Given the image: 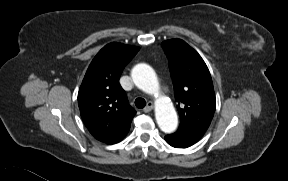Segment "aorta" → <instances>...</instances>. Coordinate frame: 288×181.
<instances>
[{"label": "aorta", "mask_w": 288, "mask_h": 181, "mask_svg": "<svg viewBox=\"0 0 288 181\" xmlns=\"http://www.w3.org/2000/svg\"><path fill=\"white\" fill-rule=\"evenodd\" d=\"M132 80L142 91L156 94L159 83L154 70L147 64H138L132 69ZM155 117L159 128L165 133L176 130L178 118L175 108L167 97H161L155 103Z\"/></svg>", "instance_id": "obj_1"}]
</instances>
